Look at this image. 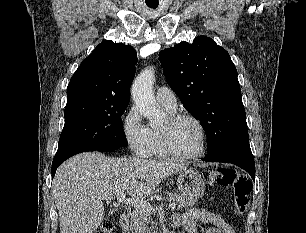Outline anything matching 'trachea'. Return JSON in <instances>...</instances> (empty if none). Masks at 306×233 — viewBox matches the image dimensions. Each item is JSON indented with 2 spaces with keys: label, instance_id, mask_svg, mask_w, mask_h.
Returning a JSON list of instances; mask_svg holds the SVG:
<instances>
[{
  "label": "trachea",
  "instance_id": "1",
  "mask_svg": "<svg viewBox=\"0 0 306 233\" xmlns=\"http://www.w3.org/2000/svg\"><path fill=\"white\" fill-rule=\"evenodd\" d=\"M147 6L150 7V8L155 9V8L158 7V4H147Z\"/></svg>",
  "mask_w": 306,
  "mask_h": 233
}]
</instances>
